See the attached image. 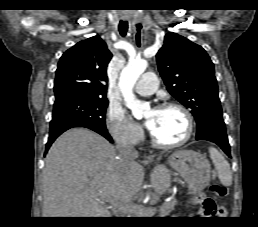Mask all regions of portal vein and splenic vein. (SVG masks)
I'll list each match as a JSON object with an SVG mask.
<instances>
[{
    "mask_svg": "<svg viewBox=\"0 0 258 227\" xmlns=\"http://www.w3.org/2000/svg\"><path fill=\"white\" fill-rule=\"evenodd\" d=\"M111 203H114L115 207L119 210L138 211V212H143V210H144V206H141V205L123 206L121 204H117V202H111Z\"/></svg>",
    "mask_w": 258,
    "mask_h": 227,
    "instance_id": "18ae733b",
    "label": "portal vein and splenic vein"
}]
</instances>
